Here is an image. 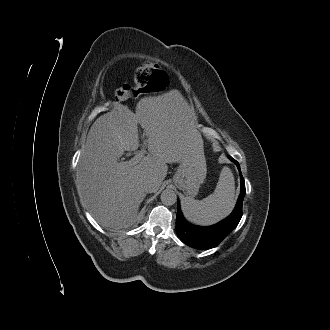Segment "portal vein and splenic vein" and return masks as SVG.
Returning a JSON list of instances; mask_svg holds the SVG:
<instances>
[{
	"label": "portal vein and splenic vein",
	"instance_id": "obj_1",
	"mask_svg": "<svg viewBox=\"0 0 330 330\" xmlns=\"http://www.w3.org/2000/svg\"><path fill=\"white\" fill-rule=\"evenodd\" d=\"M145 152H146L145 149L140 150L130 161L134 164L139 163L142 157L144 156Z\"/></svg>",
	"mask_w": 330,
	"mask_h": 330
}]
</instances>
